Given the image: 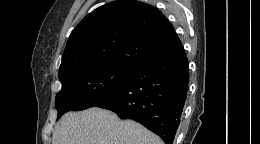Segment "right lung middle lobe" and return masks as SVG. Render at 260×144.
Instances as JSON below:
<instances>
[{
	"instance_id": "obj_1",
	"label": "right lung middle lobe",
	"mask_w": 260,
	"mask_h": 144,
	"mask_svg": "<svg viewBox=\"0 0 260 144\" xmlns=\"http://www.w3.org/2000/svg\"><path fill=\"white\" fill-rule=\"evenodd\" d=\"M133 69L104 64L59 76L62 88L55 100L57 120L68 111L94 107L111 96L126 82Z\"/></svg>"
}]
</instances>
